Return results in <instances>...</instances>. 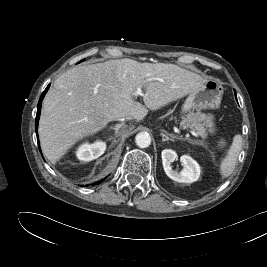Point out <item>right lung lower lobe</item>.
I'll return each instance as SVG.
<instances>
[{
	"instance_id": "obj_1",
	"label": "right lung lower lobe",
	"mask_w": 267,
	"mask_h": 267,
	"mask_svg": "<svg viewBox=\"0 0 267 267\" xmlns=\"http://www.w3.org/2000/svg\"><path fill=\"white\" fill-rule=\"evenodd\" d=\"M49 86L50 84L47 86V88L44 90V92L42 93L41 97H40V100H39V103H38V107H37V116H36V133H37V128H38V122H39V116H40V111H41V102L46 94V92L48 91L49 89ZM38 144H39V141H38ZM103 180L99 181V182H96L94 183L93 185H96V184H99L101 183Z\"/></svg>"
}]
</instances>
